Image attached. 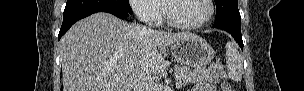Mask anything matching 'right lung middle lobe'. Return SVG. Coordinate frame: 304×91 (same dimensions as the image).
<instances>
[{
	"instance_id": "obj_1",
	"label": "right lung middle lobe",
	"mask_w": 304,
	"mask_h": 91,
	"mask_svg": "<svg viewBox=\"0 0 304 91\" xmlns=\"http://www.w3.org/2000/svg\"><path fill=\"white\" fill-rule=\"evenodd\" d=\"M113 3L115 6L125 10L126 12H128L130 14L132 13V9L129 5L128 0H113Z\"/></svg>"
}]
</instances>
